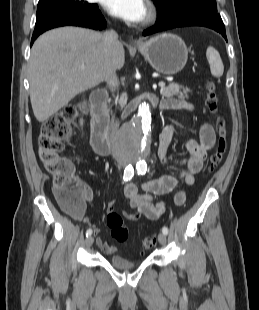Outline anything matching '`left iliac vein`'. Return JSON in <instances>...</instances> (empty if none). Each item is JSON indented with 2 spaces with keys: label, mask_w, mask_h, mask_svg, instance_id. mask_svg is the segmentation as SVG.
<instances>
[{
  "label": "left iliac vein",
  "mask_w": 259,
  "mask_h": 310,
  "mask_svg": "<svg viewBox=\"0 0 259 310\" xmlns=\"http://www.w3.org/2000/svg\"><path fill=\"white\" fill-rule=\"evenodd\" d=\"M158 241H159V243L161 244V245H166V243H167V238H166V235L164 234V233H160L159 235H158Z\"/></svg>",
  "instance_id": "left-iliac-vein-1"
}]
</instances>
